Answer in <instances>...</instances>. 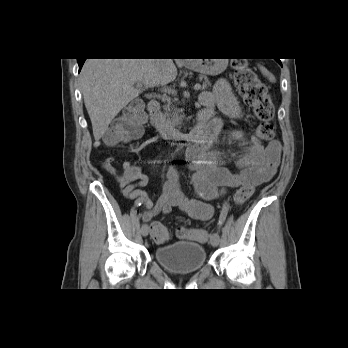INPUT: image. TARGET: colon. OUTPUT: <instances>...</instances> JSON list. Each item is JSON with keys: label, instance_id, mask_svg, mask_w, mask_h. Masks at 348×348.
Masks as SVG:
<instances>
[{"label": "colon", "instance_id": "colon-1", "mask_svg": "<svg viewBox=\"0 0 348 348\" xmlns=\"http://www.w3.org/2000/svg\"><path fill=\"white\" fill-rule=\"evenodd\" d=\"M233 80L242 96L244 102L250 106L260 124L257 126L253 141L260 144L269 141L274 137L275 128L272 124L274 116V105L267 86L258 78L251 66L242 59L235 60L233 63ZM145 123L144 108L141 103H132L125 107L118 115L110 127L103 134V142L106 146L112 147L120 142L135 139L142 133ZM110 157L108 161H112ZM254 187L251 185L240 186L233 197L236 205L244 204L253 194ZM152 236L156 242L164 243L169 240L170 233L167 227L159 222L151 224ZM177 236L180 239H188L197 242H205L208 234L205 231L179 227Z\"/></svg>", "mask_w": 348, "mask_h": 348}]
</instances>
